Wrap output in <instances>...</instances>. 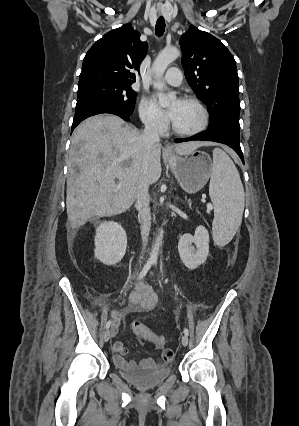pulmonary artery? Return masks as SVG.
I'll return each instance as SVG.
<instances>
[{"label":"pulmonary artery","mask_w":299,"mask_h":426,"mask_svg":"<svg viewBox=\"0 0 299 426\" xmlns=\"http://www.w3.org/2000/svg\"><path fill=\"white\" fill-rule=\"evenodd\" d=\"M164 80L170 85L178 86L182 82V73L178 68L171 67L164 75Z\"/></svg>","instance_id":"e3ab8cb5"}]
</instances>
